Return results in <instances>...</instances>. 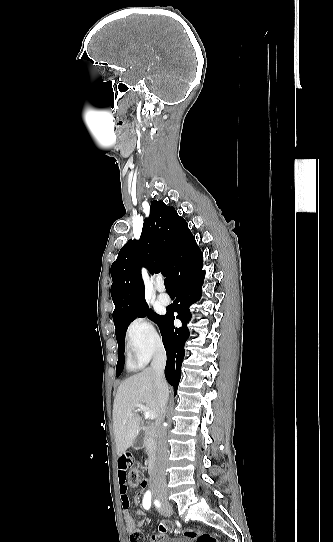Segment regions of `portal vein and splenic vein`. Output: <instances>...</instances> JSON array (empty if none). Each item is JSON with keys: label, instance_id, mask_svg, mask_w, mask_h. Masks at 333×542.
<instances>
[{"label": "portal vein and splenic vein", "instance_id": "18ae733b", "mask_svg": "<svg viewBox=\"0 0 333 542\" xmlns=\"http://www.w3.org/2000/svg\"><path fill=\"white\" fill-rule=\"evenodd\" d=\"M136 408H138V412H144L145 418L147 420H155L156 418V412H152L150 408H147V406H143V404H135Z\"/></svg>", "mask_w": 333, "mask_h": 542}]
</instances>
